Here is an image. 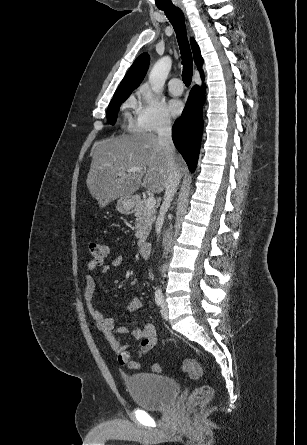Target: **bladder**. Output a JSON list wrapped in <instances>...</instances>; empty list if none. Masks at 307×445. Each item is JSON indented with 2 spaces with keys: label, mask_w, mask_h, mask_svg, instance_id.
I'll use <instances>...</instances> for the list:
<instances>
[{
  "label": "bladder",
  "mask_w": 307,
  "mask_h": 445,
  "mask_svg": "<svg viewBox=\"0 0 307 445\" xmlns=\"http://www.w3.org/2000/svg\"><path fill=\"white\" fill-rule=\"evenodd\" d=\"M125 386L132 401L147 410L168 408L180 391V385L175 379L148 372L128 376Z\"/></svg>",
  "instance_id": "bladder-1"
}]
</instances>
